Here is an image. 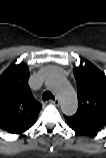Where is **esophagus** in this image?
I'll return each mask as SVG.
<instances>
[{
	"mask_svg": "<svg viewBox=\"0 0 106 158\" xmlns=\"http://www.w3.org/2000/svg\"><path fill=\"white\" fill-rule=\"evenodd\" d=\"M47 103L55 104L57 106L60 104V102H59V100L57 98H55V100L50 99V100L47 101Z\"/></svg>",
	"mask_w": 106,
	"mask_h": 158,
	"instance_id": "esophagus-1",
	"label": "esophagus"
}]
</instances>
